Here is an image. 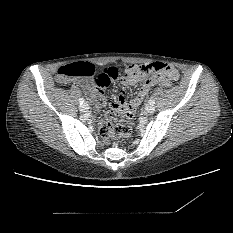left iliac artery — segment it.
Listing matches in <instances>:
<instances>
[{"label": "left iliac artery", "mask_w": 233, "mask_h": 233, "mask_svg": "<svg viewBox=\"0 0 233 233\" xmlns=\"http://www.w3.org/2000/svg\"><path fill=\"white\" fill-rule=\"evenodd\" d=\"M155 103V100L154 99H150L149 100V104L153 105Z\"/></svg>", "instance_id": "left-iliac-artery-1"}]
</instances>
